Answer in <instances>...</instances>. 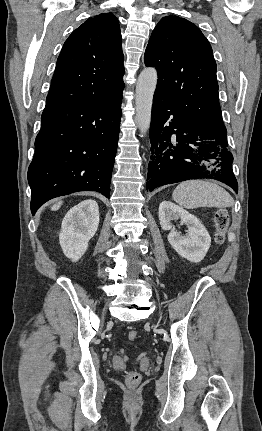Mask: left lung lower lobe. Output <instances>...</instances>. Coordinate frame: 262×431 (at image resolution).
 <instances>
[{"instance_id": "0a47b994", "label": "left lung lower lobe", "mask_w": 262, "mask_h": 431, "mask_svg": "<svg viewBox=\"0 0 262 431\" xmlns=\"http://www.w3.org/2000/svg\"><path fill=\"white\" fill-rule=\"evenodd\" d=\"M147 190L190 179H215L238 191L226 128L204 130L155 91Z\"/></svg>"}]
</instances>
